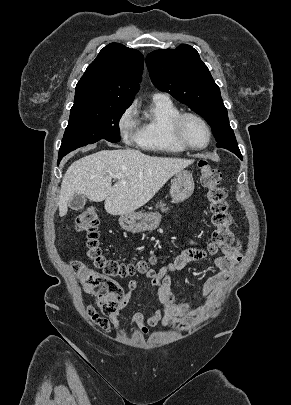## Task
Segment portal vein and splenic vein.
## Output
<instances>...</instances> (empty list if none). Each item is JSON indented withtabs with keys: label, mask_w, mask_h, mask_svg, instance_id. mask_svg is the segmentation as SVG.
I'll return each mask as SVG.
<instances>
[{
	"label": "portal vein and splenic vein",
	"mask_w": 291,
	"mask_h": 405,
	"mask_svg": "<svg viewBox=\"0 0 291 405\" xmlns=\"http://www.w3.org/2000/svg\"><path fill=\"white\" fill-rule=\"evenodd\" d=\"M113 178H114V179L123 178V174H115V175H113Z\"/></svg>",
	"instance_id": "portal-vein-and-splenic-vein-1"
}]
</instances>
